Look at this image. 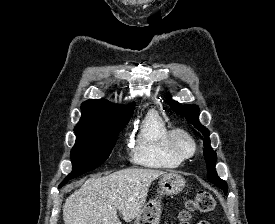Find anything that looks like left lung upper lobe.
I'll use <instances>...</instances> for the list:
<instances>
[{
    "label": "left lung upper lobe",
    "mask_w": 275,
    "mask_h": 224,
    "mask_svg": "<svg viewBox=\"0 0 275 224\" xmlns=\"http://www.w3.org/2000/svg\"><path fill=\"white\" fill-rule=\"evenodd\" d=\"M168 103L173 111L180 115H183L186 120L196 129H198L206 138V140L204 141V156L207 164L208 177L211 179L213 184L220 187L226 194L227 184L224 180L218 177L216 172L215 163L217 160V155L210 146L209 131L207 128L201 125L198 120L199 108L196 105H180L178 102L173 101L170 97L168 98Z\"/></svg>",
    "instance_id": "left-lung-upper-lobe-1"
}]
</instances>
